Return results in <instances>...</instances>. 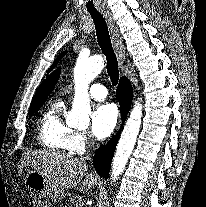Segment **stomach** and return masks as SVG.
<instances>
[{"mask_svg": "<svg viewBox=\"0 0 206 207\" xmlns=\"http://www.w3.org/2000/svg\"><path fill=\"white\" fill-rule=\"evenodd\" d=\"M24 180L28 188L37 193L47 195L51 198L57 195L61 196V193L53 187L48 179L36 170H28Z\"/></svg>", "mask_w": 206, "mask_h": 207, "instance_id": "1", "label": "stomach"}]
</instances>
